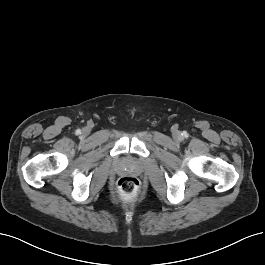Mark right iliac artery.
Here are the masks:
<instances>
[{
    "instance_id": "obj_1",
    "label": "right iliac artery",
    "mask_w": 265,
    "mask_h": 265,
    "mask_svg": "<svg viewBox=\"0 0 265 265\" xmlns=\"http://www.w3.org/2000/svg\"><path fill=\"white\" fill-rule=\"evenodd\" d=\"M81 133V131L78 129V130H76V134H80Z\"/></svg>"
}]
</instances>
